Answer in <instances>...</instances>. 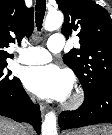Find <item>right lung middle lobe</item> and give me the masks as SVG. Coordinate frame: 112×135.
I'll use <instances>...</instances> for the list:
<instances>
[{
  "label": "right lung middle lobe",
  "instance_id": "obj_1",
  "mask_svg": "<svg viewBox=\"0 0 112 135\" xmlns=\"http://www.w3.org/2000/svg\"><path fill=\"white\" fill-rule=\"evenodd\" d=\"M6 66V61H0V93L8 92L20 83L18 78L11 76L10 70L5 69Z\"/></svg>",
  "mask_w": 112,
  "mask_h": 135
}]
</instances>
